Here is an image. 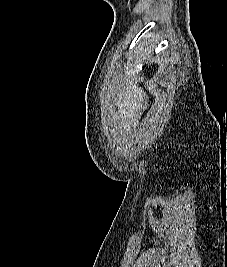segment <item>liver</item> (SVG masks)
<instances>
[{
  "label": "liver",
  "instance_id": "liver-1",
  "mask_svg": "<svg viewBox=\"0 0 227 267\" xmlns=\"http://www.w3.org/2000/svg\"><path fill=\"white\" fill-rule=\"evenodd\" d=\"M145 97V92L136 83L129 82L126 87L119 88L114 102L118 109L112 120L123 129L129 130L131 126L134 127L141 115Z\"/></svg>",
  "mask_w": 227,
  "mask_h": 267
}]
</instances>
